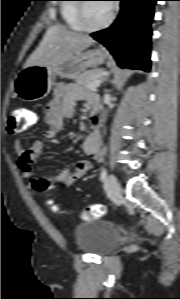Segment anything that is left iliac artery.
Instances as JSON below:
<instances>
[{"label":"left iliac artery","instance_id":"left-iliac-artery-1","mask_svg":"<svg viewBox=\"0 0 180 299\" xmlns=\"http://www.w3.org/2000/svg\"><path fill=\"white\" fill-rule=\"evenodd\" d=\"M106 178H107V170L103 169L100 174V180L104 181V180H106Z\"/></svg>","mask_w":180,"mask_h":299}]
</instances>
